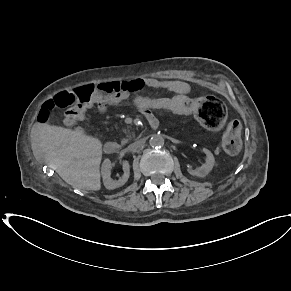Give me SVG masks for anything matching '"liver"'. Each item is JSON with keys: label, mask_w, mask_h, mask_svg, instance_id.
Here are the masks:
<instances>
[{"label": "liver", "mask_w": 291, "mask_h": 291, "mask_svg": "<svg viewBox=\"0 0 291 291\" xmlns=\"http://www.w3.org/2000/svg\"><path fill=\"white\" fill-rule=\"evenodd\" d=\"M31 147L37 160L49 163L77 189H101L102 142L81 132L44 123L31 129Z\"/></svg>", "instance_id": "6515ba94"}]
</instances>
